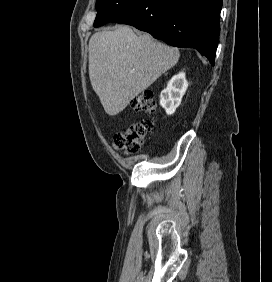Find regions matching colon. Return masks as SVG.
Masks as SVG:
<instances>
[{"label": "colon", "instance_id": "colon-1", "mask_svg": "<svg viewBox=\"0 0 272 282\" xmlns=\"http://www.w3.org/2000/svg\"><path fill=\"white\" fill-rule=\"evenodd\" d=\"M131 109L135 112L154 113L156 103L152 93H144L135 97L131 102ZM153 128L151 120H141L129 124L113 136V148L126 155H133L140 151L144 140Z\"/></svg>", "mask_w": 272, "mask_h": 282}]
</instances>
